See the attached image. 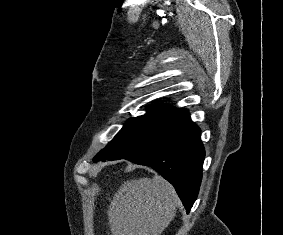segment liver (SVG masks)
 <instances>
[{"mask_svg": "<svg viewBox=\"0 0 283 235\" xmlns=\"http://www.w3.org/2000/svg\"><path fill=\"white\" fill-rule=\"evenodd\" d=\"M174 187L160 177L124 182L107 215L111 235H160L176 214Z\"/></svg>", "mask_w": 283, "mask_h": 235, "instance_id": "1", "label": "liver"}]
</instances>
